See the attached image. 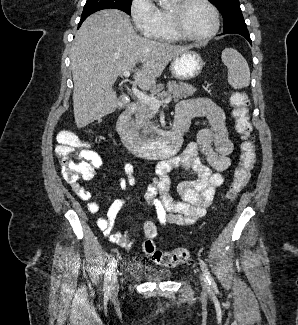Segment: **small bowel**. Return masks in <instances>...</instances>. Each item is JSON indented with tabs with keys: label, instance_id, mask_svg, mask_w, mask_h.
<instances>
[{
	"label": "small bowel",
	"instance_id": "small-bowel-1",
	"mask_svg": "<svg viewBox=\"0 0 298 325\" xmlns=\"http://www.w3.org/2000/svg\"><path fill=\"white\" fill-rule=\"evenodd\" d=\"M182 103L194 106L198 110V115L206 116L210 128L199 131L195 142L190 143L178 155L161 162L157 167V177L148 186L144 200L155 210L161 227L189 225L204 216L206 208L214 199L216 189L225 183L224 172L231 165L233 142L228 133L224 111L209 99L201 97ZM175 168H183L192 176L191 179L184 180L177 186L180 201L174 200L169 193V173ZM123 172L124 176L119 181L122 189L127 190L136 183L133 164L125 163ZM72 190L86 202L90 213L99 212L100 207L92 201L89 190L80 184H73ZM124 205L123 199L115 200L106 216L98 219L97 225L110 242L129 249L134 245V241L130 238L131 232L113 231L115 219Z\"/></svg>",
	"mask_w": 298,
	"mask_h": 325
}]
</instances>
